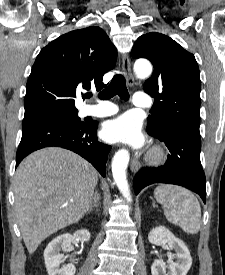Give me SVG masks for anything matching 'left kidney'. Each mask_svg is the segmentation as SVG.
I'll return each instance as SVG.
<instances>
[{"label": "left kidney", "mask_w": 225, "mask_h": 275, "mask_svg": "<svg viewBox=\"0 0 225 275\" xmlns=\"http://www.w3.org/2000/svg\"><path fill=\"white\" fill-rule=\"evenodd\" d=\"M151 244L162 245L168 244L171 250H175L176 254L172 255L176 258V262L166 265L162 260L156 259L151 266L152 275H186L192 265V258L187 246L180 239L176 238L168 229L163 226L152 229L148 235ZM166 268L169 269L166 272Z\"/></svg>", "instance_id": "obj_1"}]
</instances>
